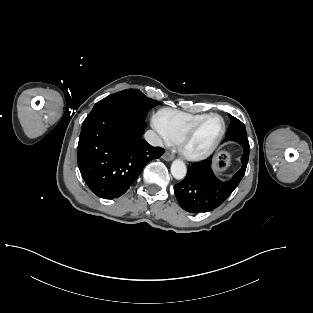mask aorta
Returning a JSON list of instances; mask_svg holds the SVG:
<instances>
[{
  "label": "aorta",
  "instance_id": "1",
  "mask_svg": "<svg viewBox=\"0 0 313 313\" xmlns=\"http://www.w3.org/2000/svg\"><path fill=\"white\" fill-rule=\"evenodd\" d=\"M187 168L183 161L177 159L173 161L171 165V174L172 176L177 179L181 180L186 176Z\"/></svg>",
  "mask_w": 313,
  "mask_h": 313
}]
</instances>
